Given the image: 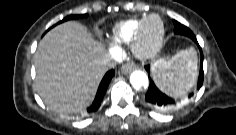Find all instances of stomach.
<instances>
[{
    "label": "stomach",
    "mask_w": 236,
    "mask_h": 135,
    "mask_svg": "<svg viewBox=\"0 0 236 135\" xmlns=\"http://www.w3.org/2000/svg\"><path fill=\"white\" fill-rule=\"evenodd\" d=\"M160 60H162V59H159V60H157L156 62H158V61H160ZM156 62H155V63H156Z\"/></svg>",
    "instance_id": "obj_1"
}]
</instances>
